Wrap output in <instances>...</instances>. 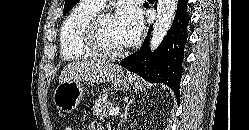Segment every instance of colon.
Listing matches in <instances>:
<instances>
[{"label":"colon","mask_w":249,"mask_h":130,"mask_svg":"<svg viewBox=\"0 0 249 130\" xmlns=\"http://www.w3.org/2000/svg\"><path fill=\"white\" fill-rule=\"evenodd\" d=\"M62 130H75L71 125H66Z\"/></svg>","instance_id":"obj_1"}]
</instances>
